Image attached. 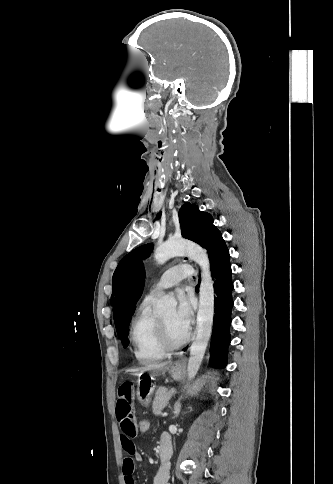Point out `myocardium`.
Returning a JSON list of instances; mask_svg holds the SVG:
<instances>
[{"mask_svg": "<svg viewBox=\"0 0 333 484\" xmlns=\"http://www.w3.org/2000/svg\"><path fill=\"white\" fill-rule=\"evenodd\" d=\"M156 327H157V337H158L159 343L166 352L179 349L180 347L185 345L190 338L189 333H186L179 340L171 339L168 334L166 325L160 316L157 317Z\"/></svg>", "mask_w": 333, "mask_h": 484, "instance_id": "1", "label": "myocardium"}]
</instances>
